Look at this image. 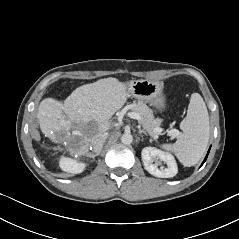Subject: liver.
<instances>
[{
    "mask_svg": "<svg viewBox=\"0 0 239 239\" xmlns=\"http://www.w3.org/2000/svg\"><path fill=\"white\" fill-rule=\"evenodd\" d=\"M127 85L116 78L100 79L76 88L62 103L54 98L43 99L37 118L43 134L52 141H64L73 129L74 135L83 136V145L77 154L85 155L90 146L95 147L97 137L110 128L109 120L127 101ZM94 123L90 136L84 135V126Z\"/></svg>",
    "mask_w": 239,
    "mask_h": 239,
    "instance_id": "obj_1",
    "label": "liver"
}]
</instances>
